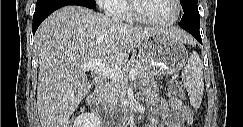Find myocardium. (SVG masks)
I'll return each mask as SVG.
<instances>
[{
	"mask_svg": "<svg viewBox=\"0 0 243 127\" xmlns=\"http://www.w3.org/2000/svg\"><path fill=\"white\" fill-rule=\"evenodd\" d=\"M139 1L140 0H130V12L135 20H137L138 22L144 23V24H148V25H152V26H161V27L170 26V25L175 24L179 20L181 13H182L181 1L172 0L175 5V8H176L175 15L171 19L165 20V21L154 20V19L146 17L145 15H143L141 13L140 8H139Z\"/></svg>",
	"mask_w": 243,
	"mask_h": 127,
	"instance_id": "myocardium-1",
	"label": "myocardium"
}]
</instances>
